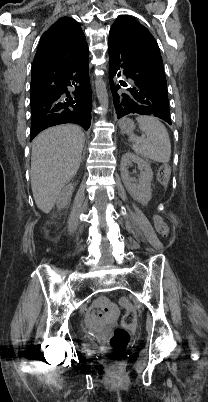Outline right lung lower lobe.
Listing matches in <instances>:
<instances>
[{
    "instance_id": "obj_1",
    "label": "right lung lower lobe",
    "mask_w": 208,
    "mask_h": 402,
    "mask_svg": "<svg viewBox=\"0 0 208 402\" xmlns=\"http://www.w3.org/2000/svg\"><path fill=\"white\" fill-rule=\"evenodd\" d=\"M70 86L75 87L72 94ZM91 98L87 42L62 60L33 65L30 141L44 129L59 124L74 123L87 130Z\"/></svg>"
}]
</instances>
